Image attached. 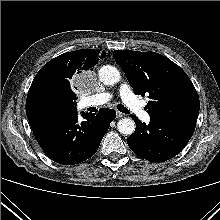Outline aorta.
I'll return each mask as SVG.
<instances>
[{"label":"aorta","mask_w":220,"mask_h":220,"mask_svg":"<svg viewBox=\"0 0 220 220\" xmlns=\"http://www.w3.org/2000/svg\"><path fill=\"white\" fill-rule=\"evenodd\" d=\"M99 80L104 85H114L120 80V72L111 65H105L99 70ZM118 131L124 135H131L135 131V123L131 118H122L117 124Z\"/></svg>","instance_id":"obj_1"}]
</instances>
